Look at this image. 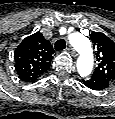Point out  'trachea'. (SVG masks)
Wrapping results in <instances>:
<instances>
[{"instance_id":"1","label":"trachea","mask_w":115,"mask_h":119,"mask_svg":"<svg viewBox=\"0 0 115 119\" xmlns=\"http://www.w3.org/2000/svg\"><path fill=\"white\" fill-rule=\"evenodd\" d=\"M66 48V42L64 39H60L55 43V50L61 51Z\"/></svg>"}]
</instances>
